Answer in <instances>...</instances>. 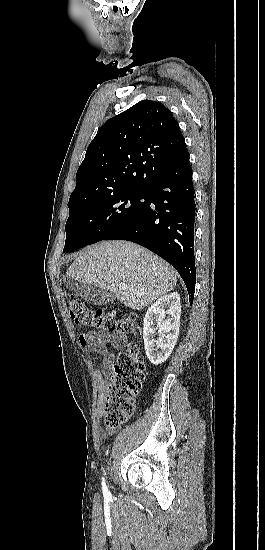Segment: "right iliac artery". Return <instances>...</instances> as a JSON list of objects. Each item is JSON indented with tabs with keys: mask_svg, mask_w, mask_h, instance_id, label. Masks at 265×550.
<instances>
[{
	"mask_svg": "<svg viewBox=\"0 0 265 550\" xmlns=\"http://www.w3.org/2000/svg\"><path fill=\"white\" fill-rule=\"evenodd\" d=\"M102 486H103L102 489H103L104 495L109 494V491H108L107 486H106V484H105V479H104V478H102Z\"/></svg>",
	"mask_w": 265,
	"mask_h": 550,
	"instance_id": "right-iliac-artery-1",
	"label": "right iliac artery"
}]
</instances>
